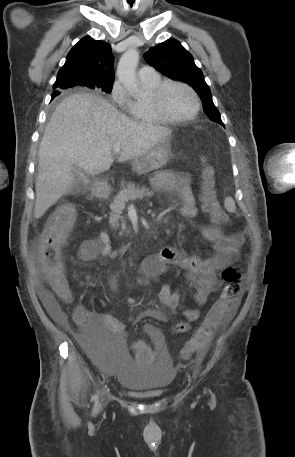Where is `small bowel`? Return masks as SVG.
Wrapping results in <instances>:
<instances>
[{
    "label": "small bowel",
    "mask_w": 295,
    "mask_h": 457,
    "mask_svg": "<svg viewBox=\"0 0 295 457\" xmlns=\"http://www.w3.org/2000/svg\"><path fill=\"white\" fill-rule=\"evenodd\" d=\"M153 186L158 190L174 193L180 198L182 216L189 218L196 216L197 207L188 175L166 171L156 177ZM201 232L204 238L213 244L214 253L211 256L200 258L181 253L171 246H165L157 254L148 256L141 269L143 276L148 278H158L172 270L182 275L193 286L194 301L198 306L204 305L208 297L216 291L219 284L217 273L228 268L237 259L239 249L244 243V236L240 232L226 235L216 226H204ZM98 255L103 257L115 255L111 249L110 237L105 231L100 232L95 238L85 239L78 251V258L82 261H91ZM109 286L113 292L117 291L116 275L109 278ZM180 295L179 290L175 291L170 284H167L159 293V301L167 308L175 309L179 304ZM39 296L47 311L55 319L65 322V316L58 303L46 288L40 287ZM183 314L186 320L174 326L176 333L188 332L191 324L200 318L198 308L186 309ZM136 317H151L161 322L166 320V315L161 309L151 307L140 310ZM74 319L89 338H99L101 333L121 335L124 331L122 323L112 315L92 312L82 306L76 309ZM144 329L155 345H164L156 326L146 324ZM203 354L204 350L198 352L196 357L201 358Z\"/></svg>",
    "instance_id": "small-bowel-1"
}]
</instances>
